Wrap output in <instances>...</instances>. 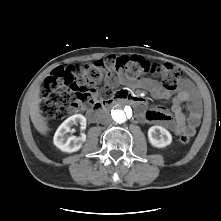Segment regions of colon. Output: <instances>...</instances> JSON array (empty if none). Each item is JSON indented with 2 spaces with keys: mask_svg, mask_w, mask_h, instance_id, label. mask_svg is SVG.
<instances>
[{
  "mask_svg": "<svg viewBox=\"0 0 221 221\" xmlns=\"http://www.w3.org/2000/svg\"><path fill=\"white\" fill-rule=\"evenodd\" d=\"M111 70L123 71L131 80L155 74L168 90H173L183 77V71L172 64H151L137 56L107 57L81 67H57L44 82L40 102L42 117L46 121L61 120L68 110H75L93 99L96 85ZM106 93L111 94V91L107 90ZM190 138V134L184 133L179 140L185 144Z\"/></svg>",
  "mask_w": 221,
  "mask_h": 221,
  "instance_id": "1",
  "label": "colon"
}]
</instances>
